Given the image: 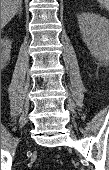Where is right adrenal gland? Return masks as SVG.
Masks as SVG:
<instances>
[{"label": "right adrenal gland", "mask_w": 109, "mask_h": 170, "mask_svg": "<svg viewBox=\"0 0 109 170\" xmlns=\"http://www.w3.org/2000/svg\"><path fill=\"white\" fill-rule=\"evenodd\" d=\"M18 14L19 16L21 17V14H22V5L20 6L19 10H18Z\"/></svg>", "instance_id": "obj_1"}]
</instances>
